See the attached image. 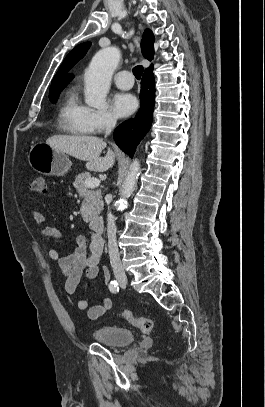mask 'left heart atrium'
I'll return each mask as SVG.
<instances>
[{"instance_id":"1","label":"left heart atrium","mask_w":265,"mask_h":407,"mask_svg":"<svg viewBox=\"0 0 265 407\" xmlns=\"http://www.w3.org/2000/svg\"><path fill=\"white\" fill-rule=\"evenodd\" d=\"M112 104L115 112L121 117H126L132 114L137 108L136 98L129 93L115 94Z\"/></svg>"}]
</instances>
